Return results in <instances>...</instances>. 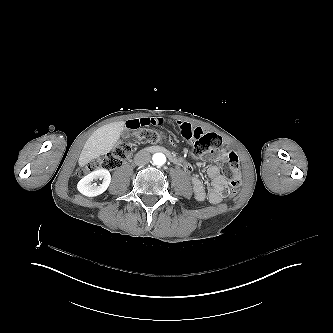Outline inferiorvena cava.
I'll list each match as a JSON object with an SVG mask.
<instances>
[{"mask_svg": "<svg viewBox=\"0 0 333 333\" xmlns=\"http://www.w3.org/2000/svg\"><path fill=\"white\" fill-rule=\"evenodd\" d=\"M151 161V155L145 149L140 150L134 157V163L138 166H143Z\"/></svg>", "mask_w": 333, "mask_h": 333, "instance_id": "602c4592", "label": "inferior vena cava"}]
</instances>
